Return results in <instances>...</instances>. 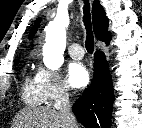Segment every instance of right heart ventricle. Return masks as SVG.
<instances>
[{"mask_svg":"<svg viewBox=\"0 0 142 128\" xmlns=\"http://www.w3.org/2000/svg\"><path fill=\"white\" fill-rule=\"evenodd\" d=\"M22 95L24 101L29 105L37 106L44 102L36 76H26L23 83Z\"/></svg>","mask_w":142,"mask_h":128,"instance_id":"e07e8e85","label":"right heart ventricle"}]
</instances>
